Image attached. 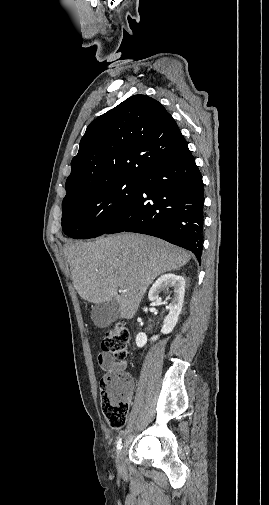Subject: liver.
Here are the masks:
<instances>
[{"mask_svg":"<svg viewBox=\"0 0 269 505\" xmlns=\"http://www.w3.org/2000/svg\"><path fill=\"white\" fill-rule=\"evenodd\" d=\"M64 255L73 285L80 297L91 303L119 304V316L131 319L153 280L178 269L190 254L164 240L134 233H121L95 241L68 243ZM123 292L118 294V289Z\"/></svg>","mask_w":269,"mask_h":505,"instance_id":"obj_1","label":"liver"}]
</instances>
